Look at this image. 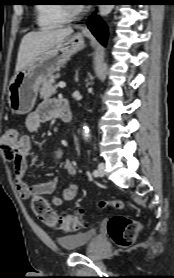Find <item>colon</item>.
I'll use <instances>...</instances> for the list:
<instances>
[{
  "mask_svg": "<svg viewBox=\"0 0 174 278\" xmlns=\"http://www.w3.org/2000/svg\"><path fill=\"white\" fill-rule=\"evenodd\" d=\"M19 134L16 130H9L0 140L1 149L7 159L14 158L13 143ZM121 200L102 201L100 207L123 208ZM31 206L37 218L45 225L62 230L73 232L86 227V217L83 212L68 215H59L50 208L42 196L32 198ZM140 230V224L123 215L112 216L107 223V231L111 239L121 247L130 246L136 239Z\"/></svg>",
  "mask_w": 174,
  "mask_h": 278,
  "instance_id": "colon-1",
  "label": "colon"
}]
</instances>
